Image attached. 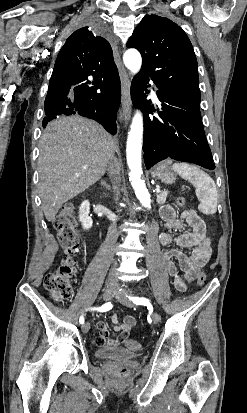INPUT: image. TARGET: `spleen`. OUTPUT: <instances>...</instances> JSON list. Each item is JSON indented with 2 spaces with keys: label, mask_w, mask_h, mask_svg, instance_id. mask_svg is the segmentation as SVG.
I'll use <instances>...</instances> for the list:
<instances>
[{
  "label": "spleen",
  "mask_w": 247,
  "mask_h": 413,
  "mask_svg": "<svg viewBox=\"0 0 247 413\" xmlns=\"http://www.w3.org/2000/svg\"><path fill=\"white\" fill-rule=\"evenodd\" d=\"M172 168L182 176L190 180L196 186V196L200 200L199 209L207 215H214L217 211V186L204 170L187 164V162H174Z\"/></svg>",
  "instance_id": "3e777b00"
}]
</instances>
